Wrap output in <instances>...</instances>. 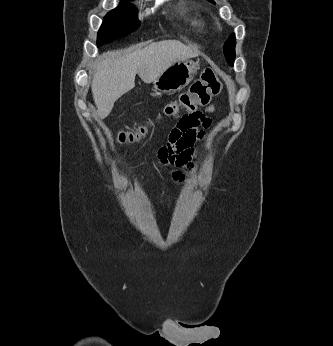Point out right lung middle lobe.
<instances>
[{
    "label": "right lung middle lobe",
    "mask_w": 333,
    "mask_h": 346,
    "mask_svg": "<svg viewBox=\"0 0 333 346\" xmlns=\"http://www.w3.org/2000/svg\"><path fill=\"white\" fill-rule=\"evenodd\" d=\"M136 16L135 7L128 0H123L105 16L97 36L98 46L134 32L140 25Z\"/></svg>",
    "instance_id": "obj_1"
}]
</instances>
